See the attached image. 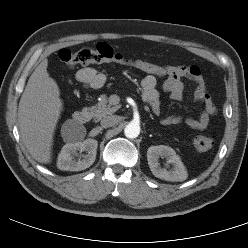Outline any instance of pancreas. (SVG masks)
Masks as SVG:
<instances>
[{
	"label": "pancreas",
	"instance_id": "obj_1",
	"mask_svg": "<svg viewBox=\"0 0 248 248\" xmlns=\"http://www.w3.org/2000/svg\"><path fill=\"white\" fill-rule=\"evenodd\" d=\"M120 108V105H112L106 95L101 96V100L90 108L94 119L100 120L101 118L111 115Z\"/></svg>",
	"mask_w": 248,
	"mask_h": 248
}]
</instances>
